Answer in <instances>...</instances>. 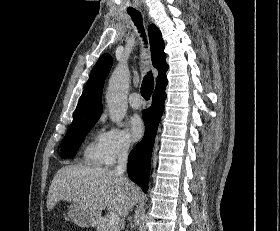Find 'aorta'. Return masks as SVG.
<instances>
[{"label": "aorta", "mask_w": 280, "mask_h": 231, "mask_svg": "<svg viewBox=\"0 0 280 231\" xmlns=\"http://www.w3.org/2000/svg\"><path fill=\"white\" fill-rule=\"evenodd\" d=\"M129 70L127 66H117L108 84L106 102L111 121L123 125L122 119L128 110L127 92L129 84Z\"/></svg>", "instance_id": "762f6f07"}]
</instances>
